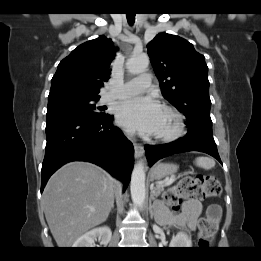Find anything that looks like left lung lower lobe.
Masks as SVG:
<instances>
[{"instance_id":"0a47b994","label":"left lung lower lobe","mask_w":261,"mask_h":261,"mask_svg":"<svg viewBox=\"0 0 261 261\" xmlns=\"http://www.w3.org/2000/svg\"><path fill=\"white\" fill-rule=\"evenodd\" d=\"M188 126L186 136L163 145H145L146 157L149 166L156 161L172 154L200 151L216 158L221 164V159L217 151L216 143L213 138L212 125L192 124Z\"/></svg>"}]
</instances>
